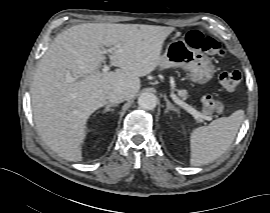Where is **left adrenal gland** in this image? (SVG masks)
I'll return each mask as SVG.
<instances>
[{"mask_svg": "<svg viewBox=\"0 0 270 213\" xmlns=\"http://www.w3.org/2000/svg\"><path fill=\"white\" fill-rule=\"evenodd\" d=\"M165 98V101H166V109H165V113H168L169 110H172V111H176V109L174 108V106L171 104V102L167 99V96L165 95L164 96Z\"/></svg>", "mask_w": 270, "mask_h": 213, "instance_id": "left-adrenal-gland-1", "label": "left adrenal gland"}]
</instances>
